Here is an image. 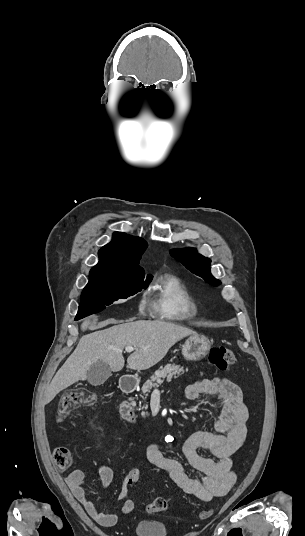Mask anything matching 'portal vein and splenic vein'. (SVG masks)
I'll return each instance as SVG.
<instances>
[{
  "label": "portal vein and splenic vein",
  "mask_w": 305,
  "mask_h": 536,
  "mask_svg": "<svg viewBox=\"0 0 305 536\" xmlns=\"http://www.w3.org/2000/svg\"><path fill=\"white\" fill-rule=\"evenodd\" d=\"M133 350H136V348H132V346H126L125 352H133ZM120 352H123V350H120Z\"/></svg>",
  "instance_id": "obj_1"
}]
</instances>
